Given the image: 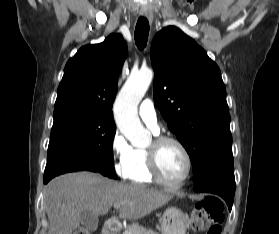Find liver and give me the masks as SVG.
<instances>
[{
    "label": "liver",
    "instance_id": "1",
    "mask_svg": "<svg viewBox=\"0 0 279 234\" xmlns=\"http://www.w3.org/2000/svg\"><path fill=\"white\" fill-rule=\"evenodd\" d=\"M172 195L142 185H128L91 172L58 176L44 192L49 219L47 234H72L81 222V213L106 215L111 206L120 203L119 215L137 220L170 201Z\"/></svg>",
    "mask_w": 279,
    "mask_h": 234
}]
</instances>
